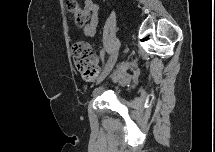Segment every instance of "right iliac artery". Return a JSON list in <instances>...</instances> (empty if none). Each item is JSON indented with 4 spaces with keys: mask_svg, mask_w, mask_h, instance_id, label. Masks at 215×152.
<instances>
[{
    "mask_svg": "<svg viewBox=\"0 0 215 152\" xmlns=\"http://www.w3.org/2000/svg\"><path fill=\"white\" fill-rule=\"evenodd\" d=\"M104 53H105V51H102V52H101V56H104Z\"/></svg>",
    "mask_w": 215,
    "mask_h": 152,
    "instance_id": "1",
    "label": "right iliac artery"
}]
</instances>
